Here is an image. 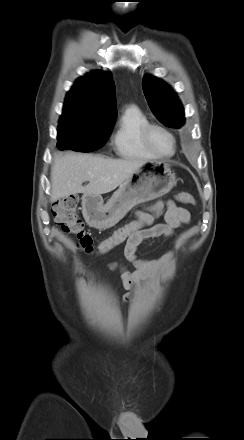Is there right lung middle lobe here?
<instances>
[{"mask_svg": "<svg viewBox=\"0 0 244 440\" xmlns=\"http://www.w3.org/2000/svg\"><path fill=\"white\" fill-rule=\"evenodd\" d=\"M113 123L67 120L58 125L59 149L91 152L101 148L111 133Z\"/></svg>", "mask_w": 244, "mask_h": 440, "instance_id": "right-lung-middle-lobe-1", "label": "right lung middle lobe"}]
</instances>
